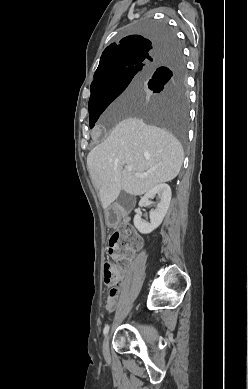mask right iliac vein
Segmentation results:
<instances>
[{"label":"right iliac vein","instance_id":"right-iliac-vein-1","mask_svg":"<svg viewBox=\"0 0 248 389\" xmlns=\"http://www.w3.org/2000/svg\"><path fill=\"white\" fill-rule=\"evenodd\" d=\"M109 341H110V335H107L103 342V354L105 356L109 354Z\"/></svg>","mask_w":248,"mask_h":389}]
</instances>
